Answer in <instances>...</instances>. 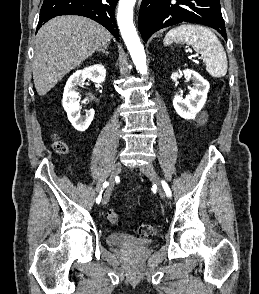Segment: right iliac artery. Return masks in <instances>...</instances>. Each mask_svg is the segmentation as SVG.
Wrapping results in <instances>:
<instances>
[{"instance_id":"82829eb1","label":"right iliac artery","mask_w":259,"mask_h":294,"mask_svg":"<svg viewBox=\"0 0 259 294\" xmlns=\"http://www.w3.org/2000/svg\"><path fill=\"white\" fill-rule=\"evenodd\" d=\"M108 185H109L108 182L103 183V188H104V187H107ZM102 192H103V190H101L100 194H99L98 197L96 198V203H100V202H101V198H102L101 194H102Z\"/></svg>"}]
</instances>
